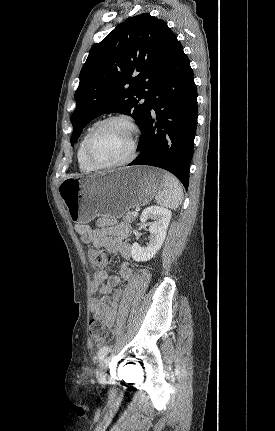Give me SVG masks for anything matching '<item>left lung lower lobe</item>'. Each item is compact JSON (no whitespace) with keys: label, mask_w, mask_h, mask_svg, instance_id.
<instances>
[{"label":"left lung lower lobe","mask_w":275,"mask_h":431,"mask_svg":"<svg viewBox=\"0 0 275 431\" xmlns=\"http://www.w3.org/2000/svg\"><path fill=\"white\" fill-rule=\"evenodd\" d=\"M197 87L190 61L179 46L157 83L140 127V154L129 164L150 165L173 173L188 188L197 126ZM156 112V118L151 115Z\"/></svg>","instance_id":"left-lung-lower-lobe-1"}]
</instances>
